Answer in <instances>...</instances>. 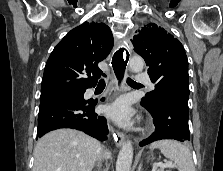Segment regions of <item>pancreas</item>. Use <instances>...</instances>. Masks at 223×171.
I'll use <instances>...</instances> for the list:
<instances>
[{
    "mask_svg": "<svg viewBox=\"0 0 223 171\" xmlns=\"http://www.w3.org/2000/svg\"><path fill=\"white\" fill-rule=\"evenodd\" d=\"M157 171H164L163 169H158Z\"/></svg>",
    "mask_w": 223,
    "mask_h": 171,
    "instance_id": "1",
    "label": "pancreas"
}]
</instances>
